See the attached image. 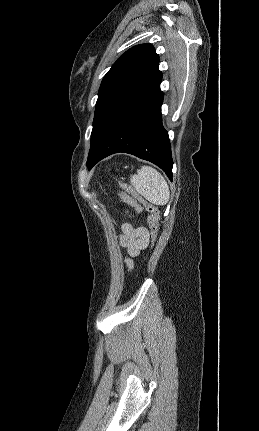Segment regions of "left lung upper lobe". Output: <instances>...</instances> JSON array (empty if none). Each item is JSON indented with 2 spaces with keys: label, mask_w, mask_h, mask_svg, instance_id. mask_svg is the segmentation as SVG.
Segmentation results:
<instances>
[{
  "label": "left lung upper lobe",
  "mask_w": 259,
  "mask_h": 431,
  "mask_svg": "<svg viewBox=\"0 0 259 431\" xmlns=\"http://www.w3.org/2000/svg\"><path fill=\"white\" fill-rule=\"evenodd\" d=\"M158 64L153 45L140 44L120 56L106 73L98 91L87 161L117 123L160 85Z\"/></svg>",
  "instance_id": "left-lung-upper-lobe-1"
}]
</instances>
